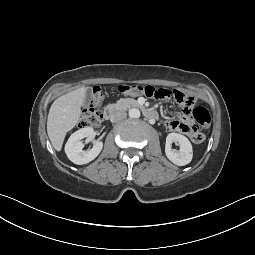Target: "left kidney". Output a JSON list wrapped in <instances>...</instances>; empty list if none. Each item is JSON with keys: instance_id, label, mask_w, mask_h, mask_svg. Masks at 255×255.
<instances>
[{"instance_id": "1", "label": "left kidney", "mask_w": 255, "mask_h": 255, "mask_svg": "<svg viewBox=\"0 0 255 255\" xmlns=\"http://www.w3.org/2000/svg\"><path fill=\"white\" fill-rule=\"evenodd\" d=\"M178 142L179 151L172 149L171 144ZM165 154L167 158L178 166H184L191 162L193 157L192 144L184 135L169 133L166 137Z\"/></svg>"}]
</instances>
